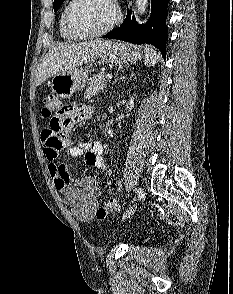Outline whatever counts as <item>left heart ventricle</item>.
Returning <instances> with one entry per match:
<instances>
[{
    "label": "left heart ventricle",
    "instance_id": "b2bd125f",
    "mask_svg": "<svg viewBox=\"0 0 233 294\" xmlns=\"http://www.w3.org/2000/svg\"><path fill=\"white\" fill-rule=\"evenodd\" d=\"M114 10L107 0H80L72 9L70 22L81 33L103 29L113 18Z\"/></svg>",
    "mask_w": 233,
    "mask_h": 294
}]
</instances>
